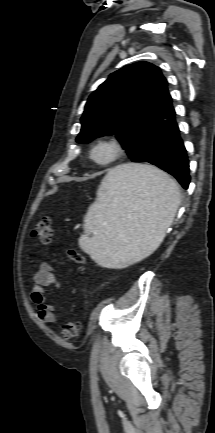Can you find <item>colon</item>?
Returning <instances> with one entry per match:
<instances>
[{
	"instance_id": "1",
	"label": "colon",
	"mask_w": 215,
	"mask_h": 433,
	"mask_svg": "<svg viewBox=\"0 0 215 433\" xmlns=\"http://www.w3.org/2000/svg\"><path fill=\"white\" fill-rule=\"evenodd\" d=\"M32 235L36 237L43 246L50 245L52 241V225L49 217H42L34 226ZM69 259L77 264L84 263V257L75 249L68 251ZM81 326L78 322H67L62 327V333L65 338H76L80 333Z\"/></svg>"
}]
</instances>
